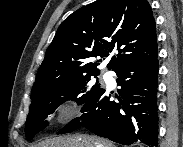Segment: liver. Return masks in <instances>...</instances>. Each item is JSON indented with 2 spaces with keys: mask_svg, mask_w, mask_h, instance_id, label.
Masks as SVG:
<instances>
[{
  "mask_svg": "<svg viewBox=\"0 0 183 147\" xmlns=\"http://www.w3.org/2000/svg\"><path fill=\"white\" fill-rule=\"evenodd\" d=\"M34 147H114V145L108 140L93 136L72 135L46 139L39 142Z\"/></svg>",
  "mask_w": 183,
  "mask_h": 147,
  "instance_id": "obj_1",
  "label": "liver"
}]
</instances>
